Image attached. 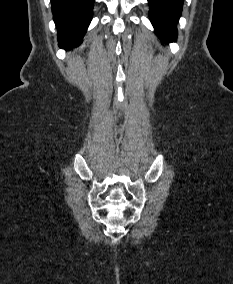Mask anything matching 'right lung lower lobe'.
Here are the masks:
<instances>
[{
	"instance_id": "98d812e1",
	"label": "right lung lower lobe",
	"mask_w": 233,
	"mask_h": 284,
	"mask_svg": "<svg viewBox=\"0 0 233 284\" xmlns=\"http://www.w3.org/2000/svg\"><path fill=\"white\" fill-rule=\"evenodd\" d=\"M51 3L59 47L78 46L91 22L94 0H51Z\"/></svg>"
}]
</instances>
